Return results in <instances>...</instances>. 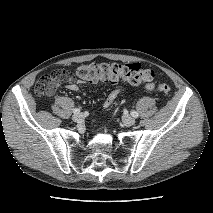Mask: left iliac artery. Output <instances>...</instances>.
Returning a JSON list of instances; mask_svg holds the SVG:
<instances>
[{"label": "left iliac artery", "mask_w": 213, "mask_h": 213, "mask_svg": "<svg viewBox=\"0 0 213 213\" xmlns=\"http://www.w3.org/2000/svg\"><path fill=\"white\" fill-rule=\"evenodd\" d=\"M131 115L134 117V118H137L139 116L138 112L136 111H131Z\"/></svg>", "instance_id": "44dca946"}]
</instances>
